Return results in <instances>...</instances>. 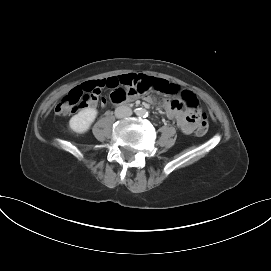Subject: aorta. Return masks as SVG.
<instances>
[{
	"label": "aorta",
	"instance_id": "1",
	"mask_svg": "<svg viewBox=\"0 0 271 271\" xmlns=\"http://www.w3.org/2000/svg\"><path fill=\"white\" fill-rule=\"evenodd\" d=\"M137 114L139 116H144V115H146V110L145 109H139L138 112H137Z\"/></svg>",
	"mask_w": 271,
	"mask_h": 271
}]
</instances>
